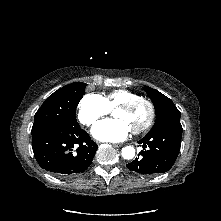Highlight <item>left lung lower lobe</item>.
Returning a JSON list of instances; mask_svg holds the SVG:
<instances>
[{
	"label": "left lung lower lobe",
	"mask_w": 221,
	"mask_h": 221,
	"mask_svg": "<svg viewBox=\"0 0 221 221\" xmlns=\"http://www.w3.org/2000/svg\"><path fill=\"white\" fill-rule=\"evenodd\" d=\"M181 125H163L151 130L138 141L143 147L139 155L127 167L143 175L167 172L175 163L181 146Z\"/></svg>",
	"instance_id": "1"
}]
</instances>
